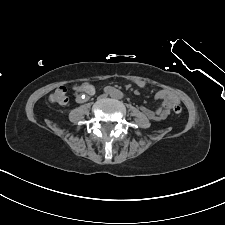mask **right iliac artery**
Instances as JSON below:
<instances>
[{
    "instance_id": "right-iliac-artery-1",
    "label": "right iliac artery",
    "mask_w": 225,
    "mask_h": 225,
    "mask_svg": "<svg viewBox=\"0 0 225 225\" xmlns=\"http://www.w3.org/2000/svg\"><path fill=\"white\" fill-rule=\"evenodd\" d=\"M104 92L107 93V94H112L113 93V88L107 86V87L104 88Z\"/></svg>"
}]
</instances>
